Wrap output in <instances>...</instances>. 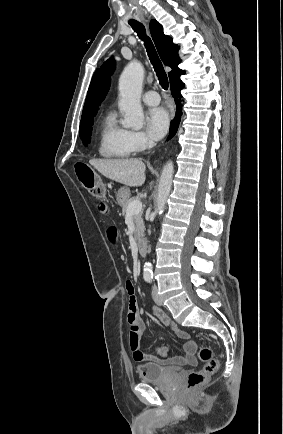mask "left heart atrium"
Masks as SVG:
<instances>
[{"label": "left heart atrium", "instance_id": "1", "mask_svg": "<svg viewBox=\"0 0 283 434\" xmlns=\"http://www.w3.org/2000/svg\"><path fill=\"white\" fill-rule=\"evenodd\" d=\"M169 126L168 112L162 107L152 108L147 113V129L150 136L159 139L165 135Z\"/></svg>", "mask_w": 283, "mask_h": 434}]
</instances>
